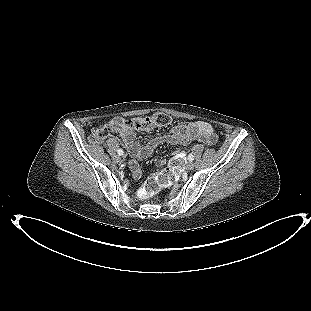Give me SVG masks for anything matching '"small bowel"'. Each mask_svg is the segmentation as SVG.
<instances>
[{
    "label": "small bowel",
    "mask_w": 311,
    "mask_h": 311,
    "mask_svg": "<svg viewBox=\"0 0 311 311\" xmlns=\"http://www.w3.org/2000/svg\"><path fill=\"white\" fill-rule=\"evenodd\" d=\"M123 121L122 118H114L113 121ZM120 139L123 145L128 148L130 155L129 168L134 179L141 176L139 161L148 158L153 151L161 144H185L192 140L200 139L207 144H214L216 135L212 126L205 121H193L186 124H178L172 127L167 133L152 138L146 145L141 147L136 141L135 133L127 127L120 130ZM165 161L160 159L158 165H163Z\"/></svg>",
    "instance_id": "obj_1"
}]
</instances>
